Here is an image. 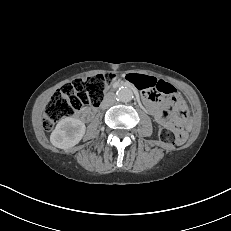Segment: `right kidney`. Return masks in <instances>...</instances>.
Wrapping results in <instances>:
<instances>
[{"instance_id":"1","label":"right kidney","mask_w":231,"mask_h":231,"mask_svg":"<svg viewBox=\"0 0 231 231\" xmlns=\"http://www.w3.org/2000/svg\"><path fill=\"white\" fill-rule=\"evenodd\" d=\"M85 124L72 117H66L58 122L51 133V143L61 149L73 147L80 142L85 134Z\"/></svg>"}]
</instances>
